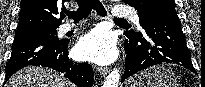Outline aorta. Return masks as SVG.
Instances as JSON below:
<instances>
[{"mask_svg":"<svg viewBox=\"0 0 205 87\" xmlns=\"http://www.w3.org/2000/svg\"><path fill=\"white\" fill-rule=\"evenodd\" d=\"M120 73L118 69L112 70L103 83V87H118Z\"/></svg>","mask_w":205,"mask_h":87,"instance_id":"1","label":"aorta"}]
</instances>
